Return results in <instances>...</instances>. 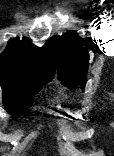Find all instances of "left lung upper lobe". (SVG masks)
Returning <instances> with one entry per match:
<instances>
[{
  "mask_svg": "<svg viewBox=\"0 0 114 156\" xmlns=\"http://www.w3.org/2000/svg\"><path fill=\"white\" fill-rule=\"evenodd\" d=\"M45 48L64 85L69 88L80 85L83 88L86 83L89 54L82 46V39L77 33L52 37L45 44Z\"/></svg>",
  "mask_w": 114,
  "mask_h": 156,
  "instance_id": "obj_1",
  "label": "left lung upper lobe"
}]
</instances>
